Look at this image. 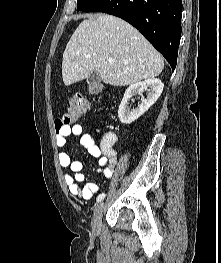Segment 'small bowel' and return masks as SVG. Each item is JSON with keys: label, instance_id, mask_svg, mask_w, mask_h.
<instances>
[{"label": "small bowel", "instance_id": "c3829d8e", "mask_svg": "<svg viewBox=\"0 0 221 263\" xmlns=\"http://www.w3.org/2000/svg\"><path fill=\"white\" fill-rule=\"evenodd\" d=\"M95 134L100 137L99 143H96L92 134L85 133L81 125L68 126L57 133L56 146L65 147L69 136L80 137V144L98 160V172L106 178H111L117 164V152L114 149L117 135L111 131L103 132L99 127L95 128ZM58 161L62 167L69 170L64 173L63 179L71 195L88 201L98 192V185L94 182L87 183L83 188L79 186V183L85 179L81 161L73 160L68 153L63 151L58 153Z\"/></svg>", "mask_w": 221, "mask_h": 263}]
</instances>
